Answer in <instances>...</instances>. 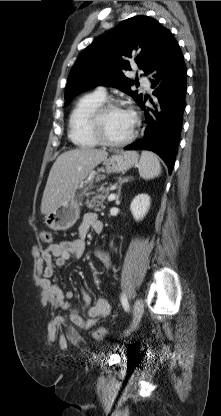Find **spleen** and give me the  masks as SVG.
Instances as JSON below:
<instances>
[{
  "label": "spleen",
  "mask_w": 221,
  "mask_h": 416,
  "mask_svg": "<svg viewBox=\"0 0 221 416\" xmlns=\"http://www.w3.org/2000/svg\"><path fill=\"white\" fill-rule=\"evenodd\" d=\"M137 167L140 177L145 180L153 179L161 173V165L158 157L150 151H142Z\"/></svg>",
  "instance_id": "spleen-1"
}]
</instances>
